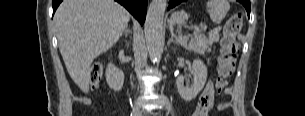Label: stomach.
Segmentation results:
<instances>
[{
  "label": "stomach",
  "mask_w": 305,
  "mask_h": 116,
  "mask_svg": "<svg viewBox=\"0 0 305 116\" xmlns=\"http://www.w3.org/2000/svg\"><path fill=\"white\" fill-rule=\"evenodd\" d=\"M187 19V15L184 12H175L170 18L172 24L183 25Z\"/></svg>",
  "instance_id": "stomach-1"
}]
</instances>
